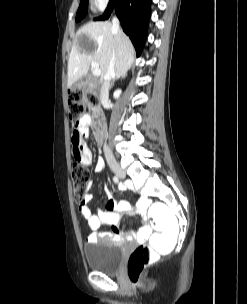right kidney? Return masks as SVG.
<instances>
[{"instance_id": "right-kidney-1", "label": "right kidney", "mask_w": 247, "mask_h": 304, "mask_svg": "<svg viewBox=\"0 0 247 304\" xmlns=\"http://www.w3.org/2000/svg\"><path fill=\"white\" fill-rule=\"evenodd\" d=\"M120 94H121V89H117V90L114 92L113 97H114L115 99H117V98H119Z\"/></svg>"}]
</instances>
